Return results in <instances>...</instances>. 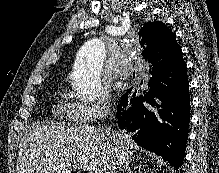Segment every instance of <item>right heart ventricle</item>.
<instances>
[{"label": "right heart ventricle", "mask_w": 219, "mask_h": 173, "mask_svg": "<svg viewBox=\"0 0 219 173\" xmlns=\"http://www.w3.org/2000/svg\"><path fill=\"white\" fill-rule=\"evenodd\" d=\"M73 104L69 103L64 97H59L53 106V114L60 120L71 122L75 120Z\"/></svg>", "instance_id": "1"}]
</instances>
